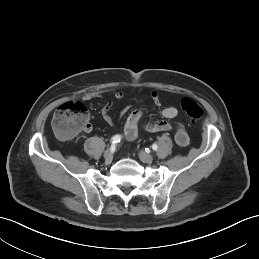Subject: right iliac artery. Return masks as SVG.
<instances>
[{
    "mask_svg": "<svg viewBox=\"0 0 259 259\" xmlns=\"http://www.w3.org/2000/svg\"><path fill=\"white\" fill-rule=\"evenodd\" d=\"M120 141H121V136H120V135H115V136H113L112 139H111V143H112L113 145L119 143Z\"/></svg>",
    "mask_w": 259,
    "mask_h": 259,
    "instance_id": "82829eb1",
    "label": "right iliac artery"
}]
</instances>
